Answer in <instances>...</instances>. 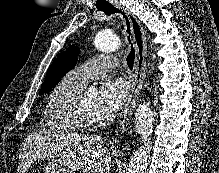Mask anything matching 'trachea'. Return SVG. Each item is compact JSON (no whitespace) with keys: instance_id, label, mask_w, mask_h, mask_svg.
<instances>
[{"instance_id":"obj_1","label":"trachea","mask_w":219,"mask_h":173,"mask_svg":"<svg viewBox=\"0 0 219 173\" xmlns=\"http://www.w3.org/2000/svg\"><path fill=\"white\" fill-rule=\"evenodd\" d=\"M98 10H101L103 11L106 15H111L113 13H121L123 15V17L125 18V21H126V26H127V33H128V42L131 44V50L129 52V54L127 55V65L129 67L130 70L133 69V66H134V61H135V49L131 43V39H130V23H129V20H128V17L121 11L119 10L118 8H116L115 6L113 5H109V6H104V7H100L98 8Z\"/></svg>"}]
</instances>
